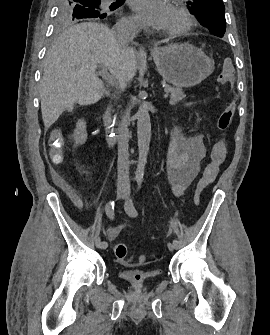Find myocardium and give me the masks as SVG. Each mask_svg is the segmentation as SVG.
<instances>
[{"label": "myocardium", "instance_id": "myocardium-1", "mask_svg": "<svg viewBox=\"0 0 270 335\" xmlns=\"http://www.w3.org/2000/svg\"><path fill=\"white\" fill-rule=\"evenodd\" d=\"M177 15L181 19V24L176 28L177 33H185L190 30L193 25V18L183 9L177 10Z\"/></svg>", "mask_w": 270, "mask_h": 335}]
</instances>
